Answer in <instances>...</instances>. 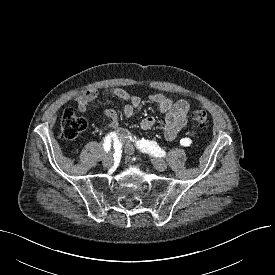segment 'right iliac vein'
<instances>
[{"mask_svg": "<svg viewBox=\"0 0 275 275\" xmlns=\"http://www.w3.org/2000/svg\"><path fill=\"white\" fill-rule=\"evenodd\" d=\"M113 161L112 153H107L102 157V163L104 166H109Z\"/></svg>", "mask_w": 275, "mask_h": 275, "instance_id": "obj_1", "label": "right iliac vein"}]
</instances>
